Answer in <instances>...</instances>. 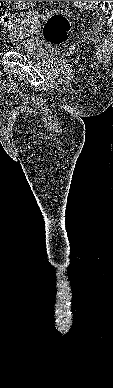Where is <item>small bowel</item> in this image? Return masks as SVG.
<instances>
[{
	"mask_svg": "<svg viewBox=\"0 0 113 388\" xmlns=\"http://www.w3.org/2000/svg\"><path fill=\"white\" fill-rule=\"evenodd\" d=\"M12 6L16 9H22L24 8V1H8ZM28 18V15L26 14H21L19 18V22H26ZM16 28V26H15Z\"/></svg>",
	"mask_w": 113,
	"mask_h": 388,
	"instance_id": "obj_1",
	"label": "small bowel"
}]
</instances>
